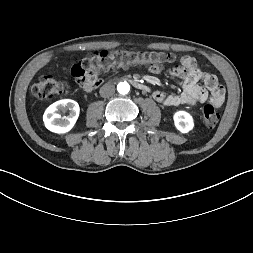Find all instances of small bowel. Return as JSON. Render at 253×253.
<instances>
[{
    "instance_id": "small-bowel-1",
    "label": "small bowel",
    "mask_w": 253,
    "mask_h": 253,
    "mask_svg": "<svg viewBox=\"0 0 253 253\" xmlns=\"http://www.w3.org/2000/svg\"><path fill=\"white\" fill-rule=\"evenodd\" d=\"M164 68V62L153 61L147 68V73L163 76L165 74ZM168 71H170L171 76L178 79L181 92L167 94L161 90H156L152 96L158 103L166 107L183 104L195 106L203 102H209L215 107H220L223 104L225 99L224 88L214 75L200 69L193 58L182 57L179 66L168 68ZM200 82L202 85L199 84Z\"/></svg>"
}]
</instances>
